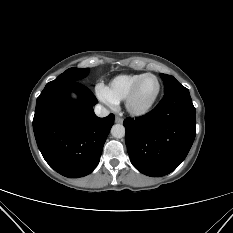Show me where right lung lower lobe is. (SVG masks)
Returning <instances> with one entry per match:
<instances>
[{
    "mask_svg": "<svg viewBox=\"0 0 233 233\" xmlns=\"http://www.w3.org/2000/svg\"><path fill=\"white\" fill-rule=\"evenodd\" d=\"M79 95L77 101L69 97ZM96 97L78 81L46 85L37 99L33 129L46 162L69 178L91 173L100 161L114 115L99 118Z\"/></svg>",
    "mask_w": 233,
    "mask_h": 233,
    "instance_id": "obj_1",
    "label": "right lung lower lobe"
}]
</instances>
